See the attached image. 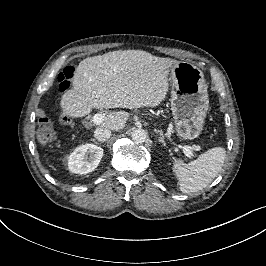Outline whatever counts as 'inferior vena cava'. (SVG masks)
<instances>
[{
    "label": "inferior vena cava",
    "mask_w": 266,
    "mask_h": 266,
    "mask_svg": "<svg viewBox=\"0 0 266 266\" xmlns=\"http://www.w3.org/2000/svg\"><path fill=\"white\" fill-rule=\"evenodd\" d=\"M111 136V130L107 128L98 127L94 131V137L101 142L106 141Z\"/></svg>",
    "instance_id": "1"
}]
</instances>
